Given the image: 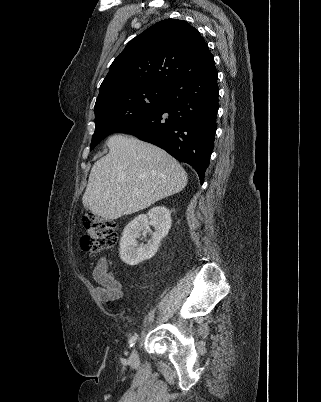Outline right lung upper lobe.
Masks as SVG:
<instances>
[{"instance_id": "right-lung-upper-lobe-1", "label": "right lung upper lobe", "mask_w": 321, "mask_h": 402, "mask_svg": "<svg viewBox=\"0 0 321 402\" xmlns=\"http://www.w3.org/2000/svg\"><path fill=\"white\" fill-rule=\"evenodd\" d=\"M214 63L199 31L183 20H162L132 39L113 61L96 103L125 91L167 87Z\"/></svg>"}]
</instances>
